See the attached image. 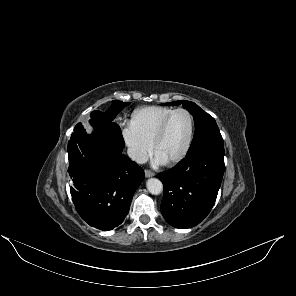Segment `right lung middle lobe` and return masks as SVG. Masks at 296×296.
Masks as SVG:
<instances>
[{"instance_id":"obj_1","label":"right lung middle lobe","mask_w":296,"mask_h":296,"mask_svg":"<svg viewBox=\"0 0 296 296\" xmlns=\"http://www.w3.org/2000/svg\"><path fill=\"white\" fill-rule=\"evenodd\" d=\"M129 105V102H122L118 100H113L111 107L106 112L93 111L91 113V120L111 122L115 115H117L125 106Z\"/></svg>"}]
</instances>
